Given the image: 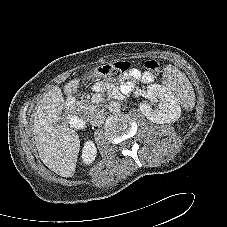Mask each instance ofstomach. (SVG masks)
<instances>
[{
    "label": "stomach",
    "mask_w": 227,
    "mask_h": 227,
    "mask_svg": "<svg viewBox=\"0 0 227 227\" xmlns=\"http://www.w3.org/2000/svg\"><path fill=\"white\" fill-rule=\"evenodd\" d=\"M95 72H96V74H98V75L105 76V77L107 76L106 74H102V73L100 72V70H98V69H96Z\"/></svg>",
    "instance_id": "0dacf381"
}]
</instances>
